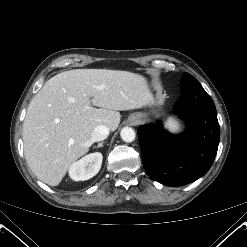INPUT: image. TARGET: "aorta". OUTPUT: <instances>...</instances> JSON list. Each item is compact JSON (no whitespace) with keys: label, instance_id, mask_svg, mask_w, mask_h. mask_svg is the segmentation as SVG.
Segmentation results:
<instances>
[{"label":"aorta","instance_id":"obj_1","mask_svg":"<svg viewBox=\"0 0 247 247\" xmlns=\"http://www.w3.org/2000/svg\"><path fill=\"white\" fill-rule=\"evenodd\" d=\"M121 139L124 142H133L135 140V131L131 127H124L120 132Z\"/></svg>","mask_w":247,"mask_h":247}]
</instances>
